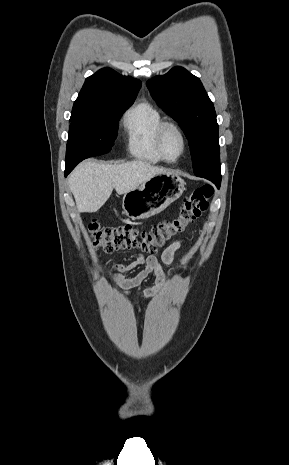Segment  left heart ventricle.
Returning <instances> with one entry per match:
<instances>
[{
  "instance_id": "obj_1",
  "label": "left heart ventricle",
  "mask_w": 289,
  "mask_h": 465,
  "mask_svg": "<svg viewBox=\"0 0 289 465\" xmlns=\"http://www.w3.org/2000/svg\"><path fill=\"white\" fill-rule=\"evenodd\" d=\"M165 153L169 158H176L182 150V142L176 131L168 130L165 142H164Z\"/></svg>"
}]
</instances>
